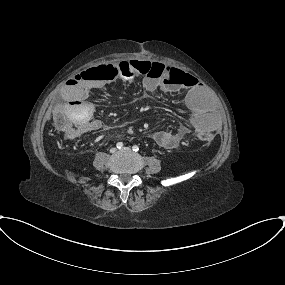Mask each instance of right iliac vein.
Returning <instances> with one entry per match:
<instances>
[{
  "label": "right iliac vein",
  "mask_w": 285,
  "mask_h": 285,
  "mask_svg": "<svg viewBox=\"0 0 285 285\" xmlns=\"http://www.w3.org/2000/svg\"><path fill=\"white\" fill-rule=\"evenodd\" d=\"M116 151H117V150H116V148H114V147L110 149V153H111V154H114Z\"/></svg>",
  "instance_id": "1"
}]
</instances>
